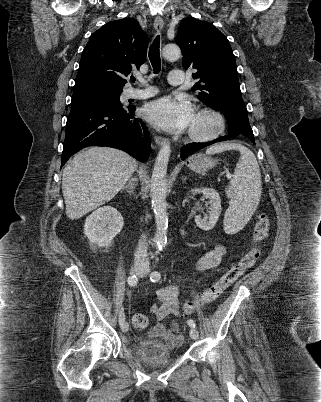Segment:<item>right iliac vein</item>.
<instances>
[{"label": "right iliac vein", "mask_w": 321, "mask_h": 402, "mask_svg": "<svg viewBox=\"0 0 321 402\" xmlns=\"http://www.w3.org/2000/svg\"><path fill=\"white\" fill-rule=\"evenodd\" d=\"M144 272V269L140 266H135L132 270L131 273H136V274H141ZM129 329V325L127 322H123V324L121 325V330L122 332L126 333Z\"/></svg>", "instance_id": "obj_1"}]
</instances>
